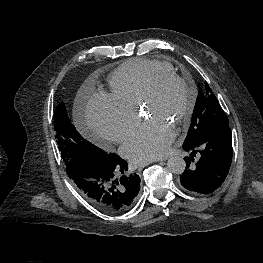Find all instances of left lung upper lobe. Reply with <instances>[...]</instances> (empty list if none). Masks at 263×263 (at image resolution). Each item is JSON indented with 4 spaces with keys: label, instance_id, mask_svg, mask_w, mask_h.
Instances as JSON below:
<instances>
[{
    "label": "left lung upper lobe",
    "instance_id": "5c2ea615",
    "mask_svg": "<svg viewBox=\"0 0 263 263\" xmlns=\"http://www.w3.org/2000/svg\"><path fill=\"white\" fill-rule=\"evenodd\" d=\"M229 123L226 113L217 98L205 83V89L196 99L191 125L184 144L199 140L204 134L218 124Z\"/></svg>",
    "mask_w": 263,
    "mask_h": 263
}]
</instances>
